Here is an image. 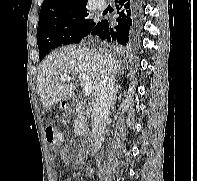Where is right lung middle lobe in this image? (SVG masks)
Masks as SVG:
<instances>
[{"label":"right lung middle lobe","mask_w":197,"mask_h":181,"mask_svg":"<svg viewBox=\"0 0 197 181\" xmlns=\"http://www.w3.org/2000/svg\"><path fill=\"white\" fill-rule=\"evenodd\" d=\"M96 23L95 16L86 7L39 20L37 44L40 59L58 46L80 42Z\"/></svg>","instance_id":"1"}]
</instances>
